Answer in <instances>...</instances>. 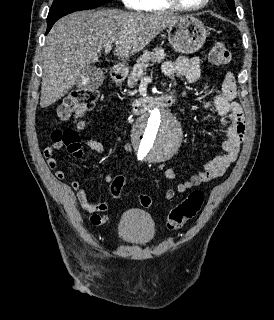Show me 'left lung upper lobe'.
Returning <instances> with one entry per match:
<instances>
[{
    "mask_svg": "<svg viewBox=\"0 0 274 320\" xmlns=\"http://www.w3.org/2000/svg\"><path fill=\"white\" fill-rule=\"evenodd\" d=\"M227 2L228 7L236 13L235 5H234V0H225Z\"/></svg>",
    "mask_w": 274,
    "mask_h": 320,
    "instance_id": "obj_1",
    "label": "left lung upper lobe"
}]
</instances>
